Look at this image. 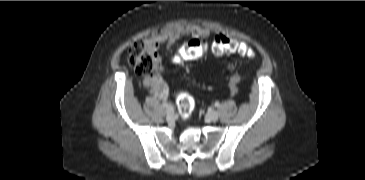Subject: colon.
I'll use <instances>...</instances> for the list:
<instances>
[{"instance_id":"1","label":"colon","mask_w":365,"mask_h":180,"mask_svg":"<svg viewBox=\"0 0 365 180\" xmlns=\"http://www.w3.org/2000/svg\"><path fill=\"white\" fill-rule=\"evenodd\" d=\"M212 51L216 55H224L237 53L243 57L253 58L254 51L252 48L237 40H234L225 35H218L214 38ZM208 50V42L204 38H194L183 45L177 54L178 60H195L203 57ZM128 64L140 76L149 77L156 68V52L151 49L146 43L137 41L132 43L127 50ZM238 78H234L230 82L231 89H235ZM179 113L183 118H188L194 110L193 98L180 92L177 98Z\"/></svg>"}]
</instances>
